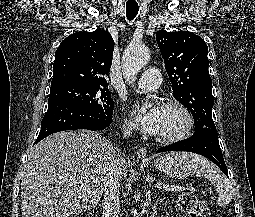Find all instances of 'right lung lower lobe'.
<instances>
[{
    "label": "right lung lower lobe",
    "mask_w": 255,
    "mask_h": 217,
    "mask_svg": "<svg viewBox=\"0 0 255 217\" xmlns=\"http://www.w3.org/2000/svg\"><path fill=\"white\" fill-rule=\"evenodd\" d=\"M113 113H100L67 101H54L48 104L43 117L41 130L34 144L50 134L75 129L103 130L112 121Z\"/></svg>",
    "instance_id": "1"
}]
</instances>
